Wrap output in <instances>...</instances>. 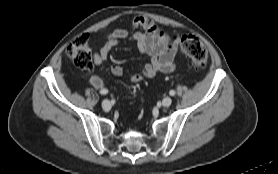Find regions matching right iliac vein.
Listing matches in <instances>:
<instances>
[{
	"label": "right iliac vein",
	"instance_id": "obj_1",
	"mask_svg": "<svg viewBox=\"0 0 278 174\" xmlns=\"http://www.w3.org/2000/svg\"><path fill=\"white\" fill-rule=\"evenodd\" d=\"M102 108H103L104 110H110V109H111V103H110V101L107 100V99L103 100V102H102Z\"/></svg>",
	"mask_w": 278,
	"mask_h": 174
}]
</instances>
